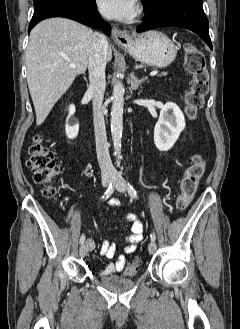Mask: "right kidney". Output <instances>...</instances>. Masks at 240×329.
Wrapping results in <instances>:
<instances>
[{
    "instance_id": "obj_1",
    "label": "right kidney",
    "mask_w": 240,
    "mask_h": 329,
    "mask_svg": "<svg viewBox=\"0 0 240 329\" xmlns=\"http://www.w3.org/2000/svg\"><path fill=\"white\" fill-rule=\"evenodd\" d=\"M74 113H75V106L72 104L69 106V115L67 117L66 126H65L66 136L69 139L76 138L79 132V124L77 120L73 117Z\"/></svg>"
}]
</instances>
